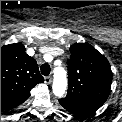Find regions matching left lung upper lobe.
<instances>
[{
    "label": "left lung upper lobe",
    "instance_id": "5c2ea615",
    "mask_svg": "<svg viewBox=\"0 0 122 122\" xmlns=\"http://www.w3.org/2000/svg\"><path fill=\"white\" fill-rule=\"evenodd\" d=\"M70 52L68 93L59 102L70 113L84 118L107 100L112 71L108 60L90 44L75 43Z\"/></svg>",
    "mask_w": 122,
    "mask_h": 122
}]
</instances>
